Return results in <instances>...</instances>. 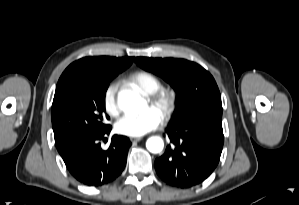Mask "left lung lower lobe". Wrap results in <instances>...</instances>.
Here are the masks:
<instances>
[{
    "instance_id": "obj_1",
    "label": "left lung lower lobe",
    "mask_w": 299,
    "mask_h": 205,
    "mask_svg": "<svg viewBox=\"0 0 299 205\" xmlns=\"http://www.w3.org/2000/svg\"><path fill=\"white\" fill-rule=\"evenodd\" d=\"M171 145L155 160L158 176L170 186L189 188L203 182L216 168L224 143L222 116L170 124Z\"/></svg>"
}]
</instances>
